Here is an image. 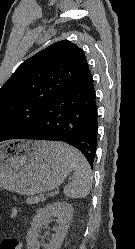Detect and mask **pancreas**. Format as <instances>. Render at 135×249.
<instances>
[{
  "instance_id": "obj_1",
  "label": "pancreas",
  "mask_w": 135,
  "mask_h": 249,
  "mask_svg": "<svg viewBox=\"0 0 135 249\" xmlns=\"http://www.w3.org/2000/svg\"><path fill=\"white\" fill-rule=\"evenodd\" d=\"M45 199L44 197H36V196H32L27 198L26 203L27 204H38L39 202H43Z\"/></svg>"
}]
</instances>
